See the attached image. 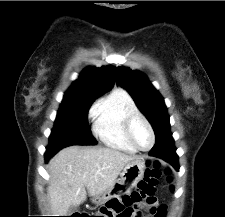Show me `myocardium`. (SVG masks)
Listing matches in <instances>:
<instances>
[{"mask_svg": "<svg viewBox=\"0 0 225 217\" xmlns=\"http://www.w3.org/2000/svg\"><path fill=\"white\" fill-rule=\"evenodd\" d=\"M137 120H141L149 129L151 137H152V142L151 145L148 148H142L140 147L137 142L135 141L134 135H133V125L135 123V121ZM124 128H125V135L127 140L129 141V143L137 150V151H149L150 149L153 148L155 141H156V135H155V131L153 129L152 124L150 123V121L142 114L140 113L138 110L137 111H133L130 114L127 115L126 119H125V124H124Z\"/></svg>", "mask_w": 225, "mask_h": 217, "instance_id": "myocardium-1", "label": "myocardium"}]
</instances>
